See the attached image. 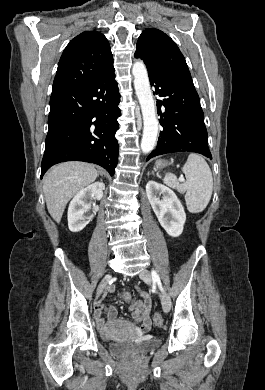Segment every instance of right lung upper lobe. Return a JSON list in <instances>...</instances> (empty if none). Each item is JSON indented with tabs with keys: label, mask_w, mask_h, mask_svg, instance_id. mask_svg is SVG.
<instances>
[{
	"label": "right lung upper lobe",
	"mask_w": 265,
	"mask_h": 390,
	"mask_svg": "<svg viewBox=\"0 0 265 390\" xmlns=\"http://www.w3.org/2000/svg\"><path fill=\"white\" fill-rule=\"evenodd\" d=\"M113 68V55L105 36L85 31L64 49L53 82L52 93L85 83Z\"/></svg>",
	"instance_id": "obj_1"
}]
</instances>
